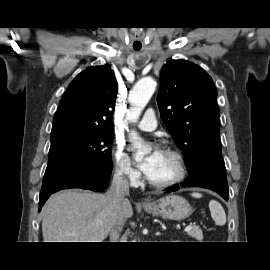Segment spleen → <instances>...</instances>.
<instances>
[{"label": "spleen", "instance_id": "obj_1", "mask_svg": "<svg viewBox=\"0 0 270 270\" xmlns=\"http://www.w3.org/2000/svg\"><path fill=\"white\" fill-rule=\"evenodd\" d=\"M195 198H201L202 194L200 193H192L191 194ZM209 209L211 212L212 219L215 221L216 225L223 226L226 223V214L219 202L216 200H211L209 202Z\"/></svg>", "mask_w": 270, "mask_h": 270}]
</instances>
